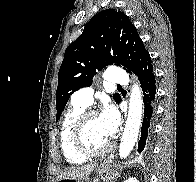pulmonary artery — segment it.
Wrapping results in <instances>:
<instances>
[{"instance_id":"e3ab8cb5","label":"pulmonary artery","mask_w":196,"mask_h":182,"mask_svg":"<svg viewBox=\"0 0 196 182\" xmlns=\"http://www.w3.org/2000/svg\"><path fill=\"white\" fill-rule=\"evenodd\" d=\"M106 79L113 85H127L128 75L125 71L118 68H109L105 73ZM93 89L90 87L82 88L76 91L72 96V101L84 106H89L93 101Z\"/></svg>"}]
</instances>
